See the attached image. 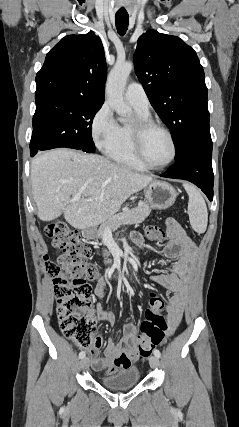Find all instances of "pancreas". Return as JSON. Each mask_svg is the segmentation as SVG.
Returning <instances> with one entry per match:
<instances>
[{"mask_svg":"<svg viewBox=\"0 0 239 427\" xmlns=\"http://www.w3.org/2000/svg\"><path fill=\"white\" fill-rule=\"evenodd\" d=\"M150 212L151 208L149 204L146 202H140L137 207L117 214L103 222L97 231V237L103 239L104 233L107 229L114 231L121 225L139 224L149 216ZM120 216L124 217L119 218ZM103 255L108 257L110 256V253L107 250H104ZM108 263H111V260L105 261V264Z\"/></svg>","mask_w":239,"mask_h":427,"instance_id":"cf45deb5","label":"pancreas"}]
</instances>
